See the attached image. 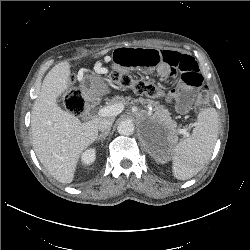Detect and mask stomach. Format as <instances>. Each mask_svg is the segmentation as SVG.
Segmentation results:
<instances>
[{
	"instance_id": "1",
	"label": "stomach",
	"mask_w": 250,
	"mask_h": 250,
	"mask_svg": "<svg viewBox=\"0 0 250 250\" xmlns=\"http://www.w3.org/2000/svg\"><path fill=\"white\" fill-rule=\"evenodd\" d=\"M107 93H109L108 85L99 77H90L81 86V95L85 100H95Z\"/></svg>"
}]
</instances>
